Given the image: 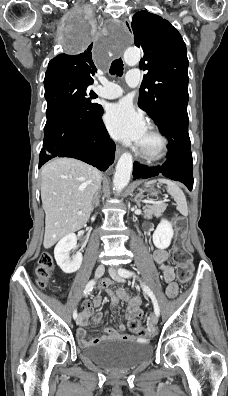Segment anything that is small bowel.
<instances>
[{
  "label": "small bowel",
  "mask_w": 228,
  "mask_h": 396,
  "mask_svg": "<svg viewBox=\"0 0 228 396\" xmlns=\"http://www.w3.org/2000/svg\"><path fill=\"white\" fill-rule=\"evenodd\" d=\"M154 261L157 263L159 269L162 272L163 278L167 283L166 293L169 297H175L178 292V286L174 282V269L172 265L168 261V254L165 250L156 249L153 254ZM114 285V282L106 279L101 283V289L107 294L110 298L112 305L115 310L118 306V301L123 300L127 303V316L126 319L132 320L142 315V311L140 309L141 299L138 296L132 297L130 296L123 288H117L115 291L111 289ZM102 298L100 295H96L92 301H86L83 303L82 310V320L80 323V328L77 330V337L82 345H90L94 343H98L105 339H135L140 341H145L146 338L142 335L136 334L135 336L125 334L126 326L124 324H120L118 326V330L113 328H104L106 335L99 338L88 337L84 327L88 324L89 318L93 314V309L99 307L101 305ZM103 314L98 312L94 316V322L96 324H100L103 321Z\"/></svg>",
  "instance_id": "small-bowel-1"
}]
</instances>
